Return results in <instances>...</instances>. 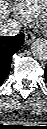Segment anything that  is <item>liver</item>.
<instances>
[{
    "instance_id": "1",
    "label": "liver",
    "mask_w": 47,
    "mask_h": 129,
    "mask_svg": "<svg viewBox=\"0 0 47 129\" xmlns=\"http://www.w3.org/2000/svg\"><path fill=\"white\" fill-rule=\"evenodd\" d=\"M9 13L10 11L6 0H0V23L8 17Z\"/></svg>"
}]
</instances>
